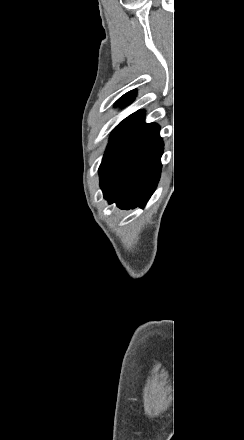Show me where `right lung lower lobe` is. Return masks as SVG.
Listing matches in <instances>:
<instances>
[{
	"label": "right lung lower lobe",
	"mask_w": 244,
	"mask_h": 440,
	"mask_svg": "<svg viewBox=\"0 0 244 440\" xmlns=\"http://www.w3.org/2000/svg\"><path fill=\"white\" fill-rule=\"evenodd\" d=\"M110 138L99 168L104 198L121 209L144 207L161 173L164 144L159 126L146 124L144 112L138 111L123 120Z\"/></svg>",
	"instance_id": "right-lung-lower-lobe-1"
}]
</instances>
